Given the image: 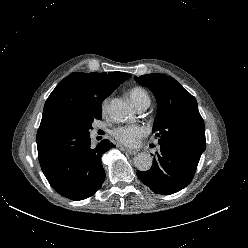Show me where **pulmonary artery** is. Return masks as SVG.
I'll return each instance as SVG.
<instances>
[{
    "label": "pulmonary artery",
    "mask_w": 248,
    "mask_h": 248,
    "mask_svg": "<svg viewBox=\"0 0 248 248\" xmlns=\"http://www.w3.org/2000/svg\"><path fill=\"white\" fill-rule=\"evenodd\" d=\"M149 105H150L149 102H143V103L138 104L136 107L140 112H142V111H145L149 107Z\"/></svg>",
    "instance_id": "pulmonary-artery-1"
}]
</instances>
